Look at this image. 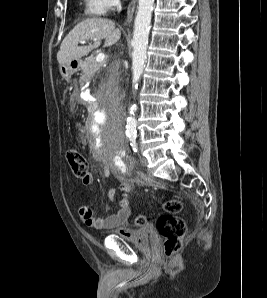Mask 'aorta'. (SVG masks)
<instances>
[{"label": "aorta", "mask_w": 267, "mask_h": 298, "mask_svg": "<svg viewBox=\"0 0 267 298\" xmlns=\"http://www.w3.org/2000/svg\"><path fill=\"white\" fill-rule=\"evenodd\" d=\"M153 4L154 0H139L138 2L132 39V86L134 89L138 88V81L144 69ZM136 110L137 106L133 104L127 119L126 132L128 134L136 132L137 120L134 117Z\"/></svg>", "instance_id": "762f6f07"}]
</instances>
